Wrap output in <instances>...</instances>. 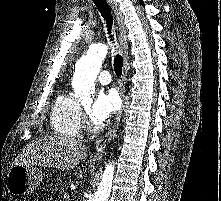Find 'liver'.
<instances>
[{"instance_id":"6515ba94","label":"liver","mask_w":221,"mask_h":201,"mask_svg":"<svg viewBox=\"0 0 221 201\" xmlns=\"http://www.w3.org/2000/svg\"><path fill=\"white\" fill-rule=\"evenodd\" d=\"M87 154L88 148L74 138L46 135L30 142L16 158L15 164L69 170Z\"/></svg>"}]
</instances>
